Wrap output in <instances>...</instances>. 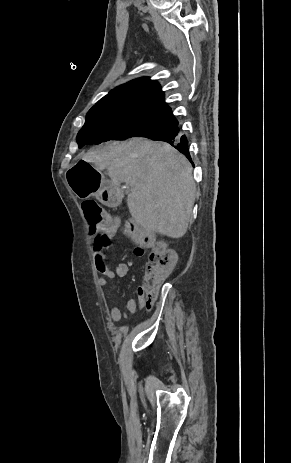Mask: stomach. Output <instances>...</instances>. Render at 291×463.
<instances>
[{
    "label": "stomach",
    "mask_w": 291,
    "mask_h": 463,
    "mask_svg": "<svg viewBox=\"0 0 291 463\" xmlns=\"http://www.w3.org/2000/svg\"><path fill=\"white\" fill-rule=\"evenodd\" d=\"M77 164L79 166L70 169L65 176L76 196L87 198L94 195L102 204L115 205L119 200L118 189L105 182L100 171L88 164L84 157H79Z\"/></svg>",
    "instance_id": "obj_1"
}]
</instances>
